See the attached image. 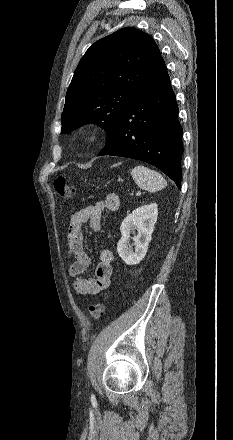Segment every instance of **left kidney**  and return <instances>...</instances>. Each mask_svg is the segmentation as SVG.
Segmentation results:
<instances>
[{
  "label": "left kidney",
  "instance_id": "left-kidney-1",
  "mask_svg": "<svg viewBox=\"0 0 233 440\" xmlns=\"http://www.w3.org/2000/svg\"><path fill=\"white\" fill-rule=\"evenodd\" d=\"M158 217V207L156 203L144 205L135 209L121 223V239L117 244V252L120 258L127 265H137L145 257L154 226ZM137 230V235L133 239L135 251L129 245L130 234Z\"/></svg>",
  "mask_w": 233,
  "mask_h": 440
}]
</instances>
